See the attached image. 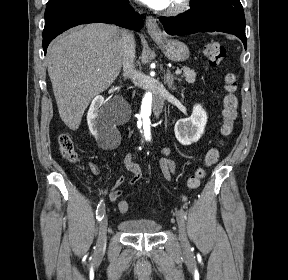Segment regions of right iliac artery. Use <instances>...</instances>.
Masks as SVG:
<instances>
[{
    "label": "right iliac artery",
    "mask_w": 288,
    "mask_h": 280,
    "mask_svg": "<svg viewBox=\"0 0 288 280\" xmlns=\"http://www.w3.org/2000/svg\"><path fill=\"white\" fill-rule=\"evenodd\" d=\"M104 213H105V203H104V200L101 199L98 206H97L96 219L98 221H101L102 218L104 217Z\"/></svg>",
    "instance_id": "82829eb1"
}]
</instances>
